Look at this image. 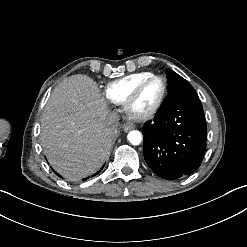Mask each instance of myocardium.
I'll return each instance as SVG.
<instances>
[{
    "label": "myocardium",
    "mask_w": 247,
    "mask_h": 247,
    "mask_svg": "<svg viewBox=\"0 0 247 247\" xmlns=\"http://www.w3.org/2000/svg\"><path fill=\"white\" fill-rule=\"evenodd\" d=\"M160 80L163 84V93L158 101V103L150 110L143 112V113H134L132 111V107L135 103V101L138 98L139 92L144 84H146L150 80ZM168 95V83L165 77L162 75L152 74L150 76H147L140 80L131 90V92L128 94V96L124 99L122 103L123 110L133 119L138 121H147L149 119H152L155 115L158 114V112L161 110L162 106L164 105L166 98Z\"/></svg>",
    "instance_id": "f54148a6"
}]
</instances>
